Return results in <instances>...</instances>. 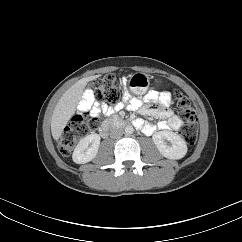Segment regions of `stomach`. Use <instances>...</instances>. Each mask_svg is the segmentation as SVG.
<instances>
[{
	"instance_id": "stomach-1",
	"label": "stomach",
	"mask_w": 242,
	"mask_h": 242,
	"mask_svg": "<svg viewBox=\"0 0 242 242\" xmlns=\"http://www.w3.org/2000/svg\"><path fill=\"white\" fill-rule=\"evenodd\" d=\"M150 85V79L146 73L136 72L130 76L128 86L130 91L136 95L144 94Z\"/></svg>"
}]
</instances>
